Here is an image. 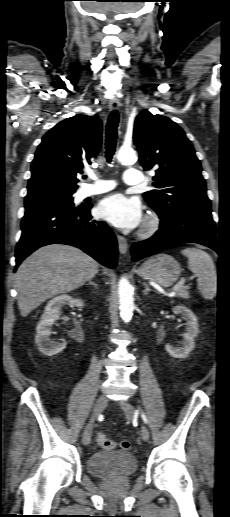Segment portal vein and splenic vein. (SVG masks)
<instances>
[{
  "label": "portal vein and splenic vein",
  "instance_id": "18ae733b",
  "mask_svg": "<svg viewBox=\"0 0 230 517\" xmlns=\"http://www.w3.org/2000/svg\"><path fill=\"white\" fill-rule=\"evenodd\" d=\"M185 279L182 278L173 288V292H176L177 290L181 289L184 285Z\"/></svg>",
  "mask_w": 230,
  "mask_h": 517
}]
</instances>
